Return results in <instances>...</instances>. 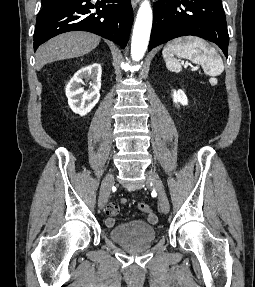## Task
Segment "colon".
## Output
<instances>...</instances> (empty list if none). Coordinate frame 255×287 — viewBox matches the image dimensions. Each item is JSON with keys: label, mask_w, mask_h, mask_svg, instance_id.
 <instances>
[{"label": "colon", "mask_w": 255, "mask_h": 287, "mask_svg": "<svg viewBox=\"0 0 255 287\" xmlns=\"http://www.w3.org/2000/svg\"><path fill=\"white\" fill-rule=\"evenodd\" d=\"M139 209L147 214H152L154 213L152 208L145 202L139 203Z\"/></svg>", "instance_id": "colon-1"}]
</instances>
